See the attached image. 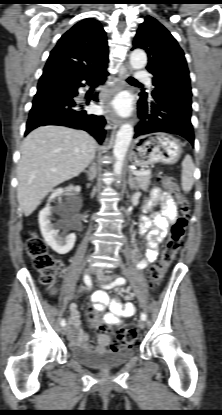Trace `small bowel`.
<instances>
[{"label": "small bowel", "mask_w": 222, "mask_h": 415, "mask_svg": "<svg viewBox=\"0 0 222 415\" xmlns=\"http://www.w3.org/2000/svg\"><path fill=\"white\" fill-rule=\"evenodd\" d=\"M159 205L161 210L154 213L151 217H144L141 225V234L146 236L147 249L145 257L139 264L141 269L146 268L154 262L158 256L159 243L165 237L167 228L177 217V206L172 196L159 188L151 191L150 198L146 204V208ZM130 294L129 291H126ZM92 301L100 310L108 311L102 314V319L108 325H119L124 318L132 317L136 308L133 303H123L119 298H110L103 290L93 293ZM69 323L72 326L70 339L74 347L84 350L105 351L110 343V337L107 334L99 333L95 343L89 340V337L81 329L80 313L77 304L69 305Z\"/></svg>", "instance_id": "small-bowel-1"}]
</instances>
